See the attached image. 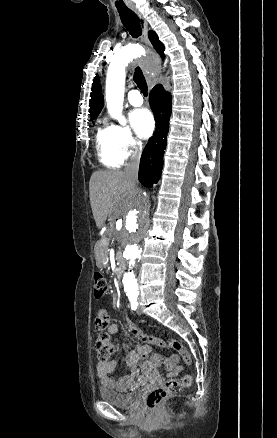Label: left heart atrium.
<instances>
[{"label": "left heart atrium", "instance_id": "obj_1", "mask_svg": "<svg viewBox=\"0 0 277 438\" xmlns=\"http://www.w3.org/2000/svg\"><path fill=\"white\" fill-rule=\"evenodd\" d=\"M131 122L140 138H147L153 131L154 121L151 112L145 108L131 113Z\"/></svg>", "mask_w": 277, "mask_h": 438}]
</instances>
